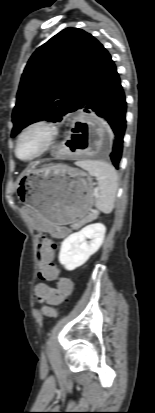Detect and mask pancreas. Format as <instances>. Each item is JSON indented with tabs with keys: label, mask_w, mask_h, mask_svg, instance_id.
I'll list each match as a JSON object with an SVG mask.
<instances>
[{
	"label": "pancreas",
	"mask_w": 155,
	"mask_h": 413,
	"mask_svg": "<svg viewBox=\"0 0 155 413\" xmlns=\"http://www.w3.org/2000/svg\"><path fill=\"white\" fill-rule=\"evenodd\" d=\"M97 215H98L97 213H92L89 216L85 217L84 219L74 222L71 225V228L78 229L82 227L85 223L95 220L97 218Z\"/></svg>",
	"instance_id": "obj_1"
}]
</instances>
